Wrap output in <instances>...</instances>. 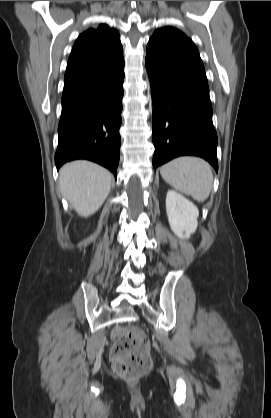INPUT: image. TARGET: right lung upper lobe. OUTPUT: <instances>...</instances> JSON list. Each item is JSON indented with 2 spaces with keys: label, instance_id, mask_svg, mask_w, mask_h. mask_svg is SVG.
I'll return each instance as SVG.
<instances>
[{
  "label": "right lung upper lobe",
  "instance_id": "obj_1",
  "mask_svg": "<svg viewBox=\"0 0 271 418\" xmlns=\"http://www.w3.org/2000/svg\"><path fill=\"white\" fill-rule=\"evenodd\" d=\"M124 63L119 33L106 24L79 35L64 77L62 99L96 83Z\"/></svg>",
  "mask_w": 271,
  "mask_h": 418
}]
</instances>
